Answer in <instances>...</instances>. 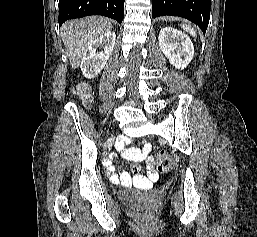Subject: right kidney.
<instances>
[{"instance_id":"1","label":"right kidney","mask_w":257,"mask_h":237,"mask_svg":"<svg viewBox=\"0 0 257 237\" xmlns=\"http://www.w3.org/2000/svg\"><path fill=\"white\" fill-rule=\"evenodd\" d=\"M115 40L116 34L108 31L90 43L83 54L80 65L86 78H94L101 72L113 51ZM98 48H103V50L97 51Z\"/></svg>"}]
</instances>
